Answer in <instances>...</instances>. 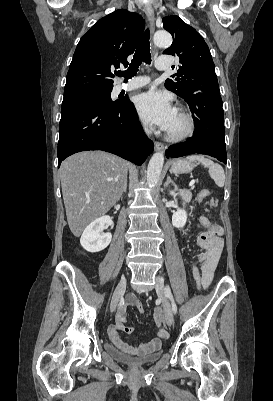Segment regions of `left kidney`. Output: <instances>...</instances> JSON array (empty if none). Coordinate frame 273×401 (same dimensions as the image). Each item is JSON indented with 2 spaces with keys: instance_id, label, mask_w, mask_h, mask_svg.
Wrapping results in <instances>:
<instances>
[{
  "instance_id": "obj_1",
  "label": "left kidney",
  "mask_w": 273,
  "mask_h": 401,
  "mask_svg": "<svg viewBox=\"0 0 273 401\" xmlns=\"http://www.w3.org/2000/svg\"><path fill=\"white\" fill-rule=\"evenodd\" d=\"M170 194L176 196L177 192H173V190H171ZM186 221L187 213L186 211H184V209H180V211H176V213H173L172 225H174V227H177V229H181V227H184V225H186Z\"/></svg>"
}]
</instances>
